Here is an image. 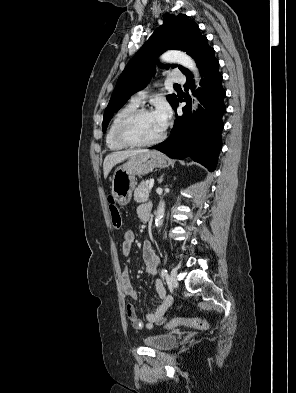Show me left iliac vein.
I'll return each instance as SVG.
<instances>
[{"instance_id":"obj_1","label":"left iliac vein","mask_w":296,"mask_h":393,"mask_svg":"<svg viewBox=\"0 0 296 393\" xmlns=\"http://www.w3.org/2000/svg\"><path fill=\"white\" fill-rule=\"evenodd\" d=\"M168 281L171 286H173V287L178 286L177 271L176 270L171 271Z\"/></svg>"}]
</instances>
